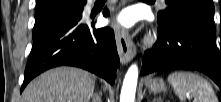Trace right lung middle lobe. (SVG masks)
I'll list each match as a JSON object with an SVG mask.
<instances>
[{"label":"right lung middle lobe","mask_w":221,"mask_h":102,"mask_svg":"<svg viewBox=\"0 0 221 102\" xmlns=\"http://www.w3.org/2000/svg\"><path fill=\"white\" fill-rule=\"evenodd\" d=\"M83 5L82 0H50L44 6L36 8L33 37L62 20L76 17Z\"/></svg>","instance_id":"right-lung-middle-lobe-1"}]
</instances>
